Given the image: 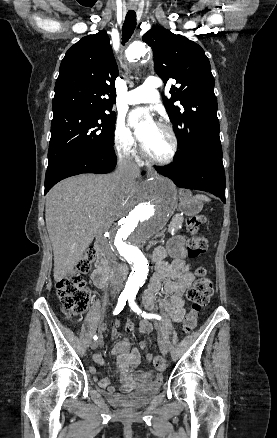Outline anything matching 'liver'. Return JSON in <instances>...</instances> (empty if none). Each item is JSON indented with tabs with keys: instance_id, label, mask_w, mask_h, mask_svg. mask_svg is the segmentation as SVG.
I'll return each mask as SVG.
<instances>
[{
	"instance_id": "1",
	"label": "liver",
	"mask_w": 277,
	"mask_h": 438,
	"mask_svg": "<svg viewBox=\"0 0 277 438\" xmlns=\"http://www.w3.org/2000/svg\"><path fill=\"white\" fill-rule=\"evenodd\" d=\"M121 205H127L126 188L116 186L114 174L72 176L48 192L45 220L55 282L72 272L97 232H106L120 218Z\"/></svg>"
}]
</instances>
